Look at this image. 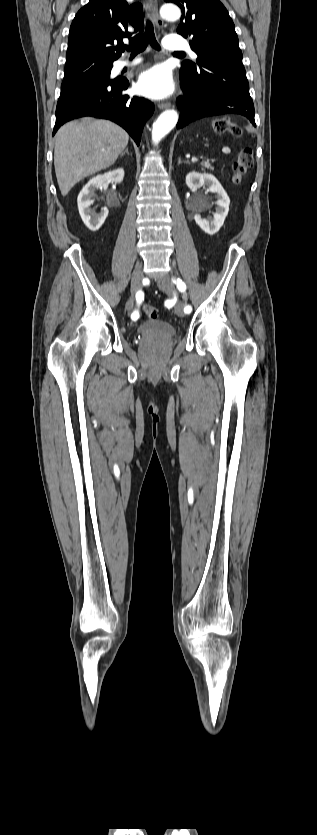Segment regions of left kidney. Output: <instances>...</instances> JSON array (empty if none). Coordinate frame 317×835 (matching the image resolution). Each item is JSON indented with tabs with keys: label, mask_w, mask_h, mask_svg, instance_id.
Segmentation results:
<instances>
[{
	"label": "left kidney",
	"mask_w": 317,
	"mask_h": 835,
	"mask_svg": "<svg viewBox=\"0 0 317 835\" xmlns=\"http://www.w3.org/2000/svg\"><path fill=\"white\" fill-rule=\"evenodd\" d=\"M186 185L190 189H198L202 186H207L210 192L216 194V212L213 214V218H202L199 213L194 215L195 222L203 231L210 235L215 234L223 225L229 211L230 199L226 191L221 186L219 181L212 174L208 173L200 174L198 172H190L186 176ZM205 208H207L206 205L200 206V209Z\"/></svg>",
	"instance_id": "1"
}]
</instances>
